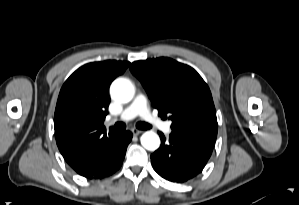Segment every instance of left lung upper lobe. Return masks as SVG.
Returning a JSON list of instances; mask_svg holds the SVG:
<instances>
[{
    "label": "left lung upper lobe",
    "mask_w": 299,
    "mask_h": 205,
    "mask_svg": "<svg viewBox=\"0 0 299 205\" xmlns=\"http://www.w3.org/2000/svg\"><path fill=\"white\" fill-rule=\"evenodd\" d=\"M130 70L141 81L158 114L172 120V130L217 132L210 89L193 68L162 57L136 61Z\"/></svg>",
    "instance_id": "5c2ea615"
}]
</instances>
